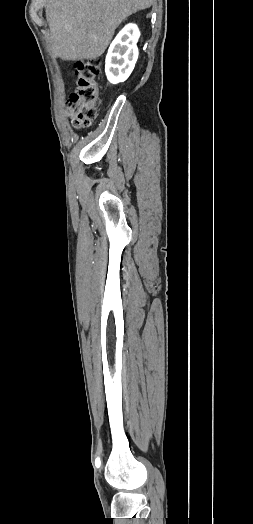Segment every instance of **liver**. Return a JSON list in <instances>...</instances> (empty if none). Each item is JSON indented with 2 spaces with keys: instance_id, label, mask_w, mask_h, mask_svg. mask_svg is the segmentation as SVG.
<instances>
[{
  "instance_id": "1",
  "label": "liver",
  "mask_w": 253,
  "mask_h": 524,
  "mask_svg": "<svg viewBox=\"0 0 253 524\" xmlns=\"http://www.w3.org/2000/svg\"><path fill=\"white\" fill-rule=\"evenodd\" d=\"M152 3L153 0H48L46 19L52 56L68 61L96 59L104 53L120 23Z\"/></svg>"
}]
</instances>
